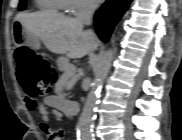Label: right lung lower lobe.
<instances>
[{"mask_svg": "<svg viewBox=\"0 0 182 140\" xmlns=\"http://www.w3.org/2000/svg\"><path fill=\"white\" fill-rule=\"evenodd\" d=\"M131 0H107L95 15L96 32L100 39L107 42L115 25L128 9Z\"/></svg>", "mask_w": 182, "mask_h": 140, "instance_id": "obj_1", "label": "right lung lower lobe"}]
</instances>
